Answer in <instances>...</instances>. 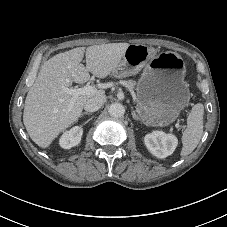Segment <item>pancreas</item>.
<instances>
[{
  "label": "pancreas",
  "instance_id": "1",
  "mask_svg": "<svg viewBox=\"0 0 227 227\" xmlns=\"http://www.w3.org/2000/svg\"><path fill=\"white\" fill-rule=\"evenodd\" d=\"M125 84L128 86V88L130 90H133L136 85V82L134 80L130 79V80L125 81Z\"/></svg>",
  "mask_w": 227,
  "mask_h": 227
}]
</instances>
